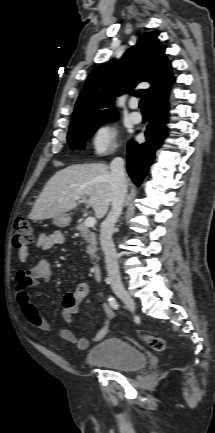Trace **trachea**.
Instances as JSON below:
<instances>
[{"mask_svg": "<svg viewBox=\"0 0 215 433\" xmlns=\"http://www.w3.org/2000/svg\"><path fill=\"white\" fill-rule=\"evenodd\" d=\"M139 107L142 111H149L148 104L146 102V96H143L140 100Z\"/></svg>", "mask_w": 215, "mask_h": 433, "instance_id": "trachea-1", "label": "trachea"}]
</instances>
